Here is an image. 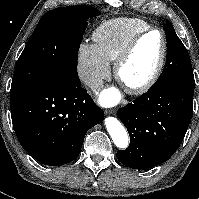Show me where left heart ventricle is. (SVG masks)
I'll list each match as a JSON object with an SVG mask.
<instances>
[{
	"instance_id": "b2bd125f",
	"label": "left heart ventricle",
	"mask_w": 199,
	"mask_h": 199,
	"mask_svg": "<svg viewBox=\"0 0 199 199\" xmlns=\"http://www.w3.org/2000/svg\"><path fill=\"white\" fill-rule=\"evenodd\" d=\"M161 36L151 33L144 37L121 69V81L126 86H136L149 78L161 54Z\"/></svg>"
}]
</instances>
